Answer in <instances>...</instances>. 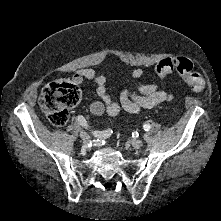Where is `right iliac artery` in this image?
I'll return each mask as SVG.
<instances>
[{"mask_svg":"<svg viewBox=\"0 0 221 221\" xmlns=\"http://www.w3.org/2000/svg\"><path fill=\"white\" fill-rule=\"evenodd\" d=\"M78 121H79L80 125H82L84 127L88 126L87 121L85 120V118L83 116H78ZM113 129H114V126L110 125V126L106 127V131H103V130L97 131V130L91 129L90 133L100 139H108V136L111 134V130H113Z\"/></svg>","mask_w":221,"mask_h":221,"instance_id":"1","label":"right iliac artery"}]
</instances>
